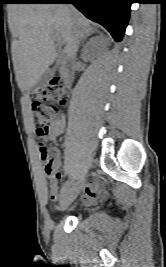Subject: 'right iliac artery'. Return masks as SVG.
<instances>
[{
  "mask_svg": "<svg viewBox=\"0 0 166 267\" xmlns=\"http://www.w3.org/2000/svg\"><path fill=\"white\" fill-rule=\"evenodd\" d=\"M70 185H71V181L70 180H68V181H66L64 183V185H63V187H62V189L60 191V197L61 198L65 196V194L67 193L68 189L70 188Z\"/></svg>",
  "mask_w": 166,
  "mask_h": 267,
  "instance_id": "82829eb1",
  "label": "right iliac artery"
}]
</instances>
